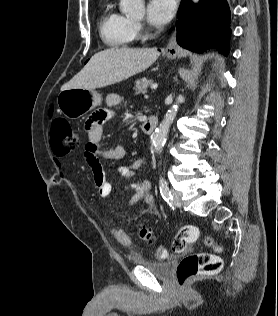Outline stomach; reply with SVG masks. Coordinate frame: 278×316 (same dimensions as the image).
<instances>
[{
    "instance_id": "1",
    "label": "stomach",
    "mask_w": 278,
    "mask_h": 316,
    "mask_svg": "<svg viewBox=\"0 0 278 316\" xmlns=\"http://www.w3.org/2000/svg\"><path fill=\"white\" fill-rule=\"evenodd\" d=\"M170 59L176 57L168 55ZM102 102L101 95L93 89L73 88L62 90L57 98L58 108L69 119L82 117Z\"/></svg>"
}]
</instances>
